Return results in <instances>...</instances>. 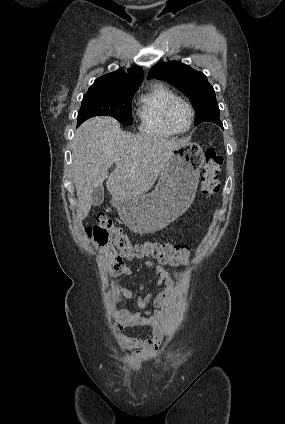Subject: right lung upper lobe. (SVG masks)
<instances>
[{"label": "right lung upper lobe", "mask_w": 285, "mask_h": 424, "mask_svg": "<svg viewBox=\"0 0 285 424\" xmlns=\"http://www.w3.org/2000/svg\"><path fill=\"white\" fill-rule=\"evenodd\" d=\"M142 79L143 70L141 67H132L128 69V73H126L122 68H120L117 71L97 78L89 89L94 90L116 87L139 86L142 82Z\"/></svg>", "instance_id": "obj_1"}]
</instances>
